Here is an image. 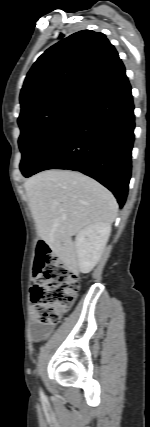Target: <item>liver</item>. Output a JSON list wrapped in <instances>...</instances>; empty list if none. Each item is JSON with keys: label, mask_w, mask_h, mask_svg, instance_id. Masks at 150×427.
I'll list each match as a JSON object with an SVG mask.
<instances>
[{"label": "liver", "mask_w": 150, "mask_h": 427, "mask_svg": "<svg viewBox=\"0 0 150 427\" xmlns=\"http://www.w3.org/2000/svg\"><path fill=\"white\" fill-rule=\"evenodd\" d=\"M24 187L38 236L66 263L74 260L72 236L91 224L111 225L117 216L113 194L79 172L46 170Z\"/></svg>", "instance_id": "6515ba94"}]
</instances>
